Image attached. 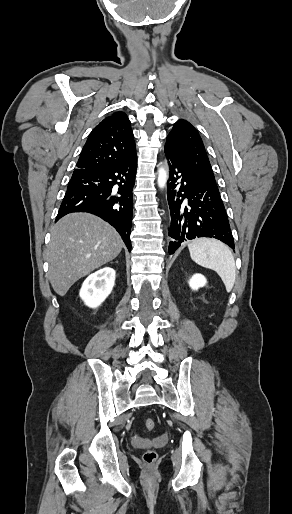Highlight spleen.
<instances>
[{
  "mask_svg": "<svg viewBox=\"0 0 292 514\" xmlns=\"http://www.w3.org/2000/svg\"><path fill=\"white\" fill-rule=\"evenodd\" d=\"M188 250L193 262L217 272L227 292H231L236 280V266L228 246L214 238H198L188 244Z\"/></svg>",
  "mask_w": 292,
  "mask_h": 514,
  "instance_id": "obj_1",
  "label": "spleen"
}]
</instances>
